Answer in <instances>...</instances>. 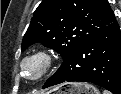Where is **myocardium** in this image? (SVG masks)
I'll return each mask as SVG.
<instances>
[{"label": "myocardium", "instance_id": "myocardium-1", "mask_svg": "<svg viewBox=\"0 0 121 94\" xmlns=\"http://www.w3.org/2000/svg\"><path fill=\"white\" fill-rule=\"evenodd\" d=\"M31 64H37L38 69L35 74L28 72ZM54 64L53 55L47 50H36L26 55L20 62V70L24 73L27 80L37 82L43 79L52 69Z\"/></svg>", "mask_w": 121, "mask_h": 94}]
</instances>
